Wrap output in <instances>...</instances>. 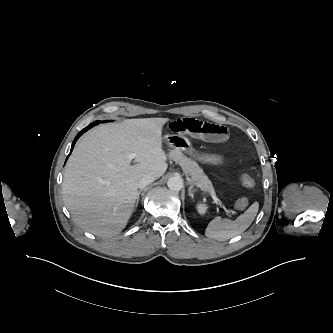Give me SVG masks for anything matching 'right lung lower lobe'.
I'll return each mask as SVG.
<instances>
[{
    "instance_id": "right-lung-lower-lobe-1",
    "label": "right lung lower lobe",
    "mask_w": 333,
    "mask_h": 333,
    "mask_svg": "<svg viewBox=\"0 0 333 333\" xmlns=\"http://www.w3.org/2000/svg\"><path fill=\"white\" fill-rule=\"evenodd\" d=\"M99 123H100V121H95V122L91 123L89 126H87L86 128H84L82 131H80V132L78 133V135L75 137V139H74V141H73V143H72L71 151H72V149H73V147H74L76 141L78 140V138H79L84 132H86L87 130H89V129L92 128L93 126L98 125ZM70 153H71V152H70Z\"/></svg>"
}]
</instances>
